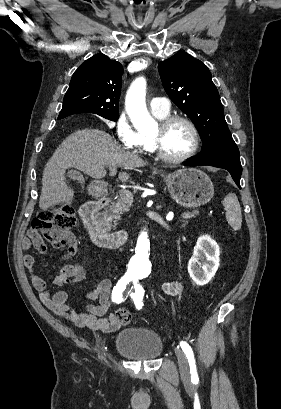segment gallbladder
Returning a JSON list of instances; mask_svg holds the SVG:
<instances>
[{
  "mask_svg": "<svg viewBox=\"0 0 281 409\" xmlns=\"http://www.w3.org/2000/svg\"><path fill=\"white\" fill-rule=\"evenodd\" d=\"M69 176H71V178H76V176H81V174L80 172H77V170H70Z\"/></svg>",
  "mask_w": 281,
  "mask_h": 409,
  "instance_id": "obj_1",
  "label": "gallbladder"
}]
</instances>
